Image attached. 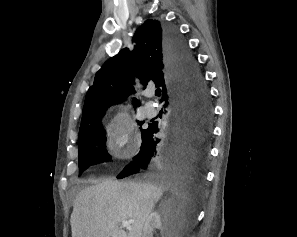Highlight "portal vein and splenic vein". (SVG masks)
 <instances>
[{"label": "portal vein and splenic vein", "mask_w": 297, "mask_h": 237, "mask_svg": "<svg viewBox=\"0 0 297 237\" xmlns=\"http://www.w3.org/2000/svg\"><path fill=\"white\" fill-rule=\"evenodd\" d=\"M132 223H134V220L123 221V222L121 223V226H122L123 228L130 229Z\"/></svg>", "instance_id": "obj_1"}]
</instances>
